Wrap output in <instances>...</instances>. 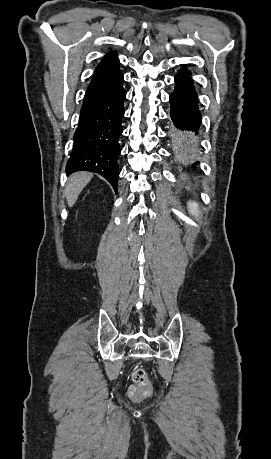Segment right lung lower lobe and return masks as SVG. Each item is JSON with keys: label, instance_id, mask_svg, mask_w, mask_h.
<instances>
[{"label": "right lung lower lobe", "instance_id": "98d812e1", "mask_svg": "<svg viewBox=\"0 0 271 459\" xmlns=\"http://www.w3.org/2000/svg\"><path fill=\"white\" fill-rule=\"evenodd\" d=\"M123 74L112 72L92 79L80 111L67 172L90 171L106 178L117 192L119 137L125 110Z\"/></svg>", "mask_w": 271, "mask_h": 459}]
</instances>
